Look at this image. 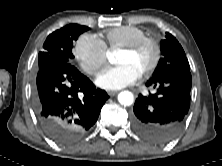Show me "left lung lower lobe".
<instances>
[{
	"label": "left lung lower lobe",
	"mask_w": 222,
	"mask_h": 166,
	"mask_svg": "<svg viewBox=\"0 0 222 166\" xmlns=\"http://www.w3.org/2000/svg\"><path fill=\"white\" fill-rule=\"evenodd\" d=\"M146 86L157 90L148 96L140 94L136 99L131 119L133 129L151 143H168L185 123L190 107L191 73L179 71L152 77Z\"/></svg>",
	"instance_id": "obj_1"
}]
</instances>
